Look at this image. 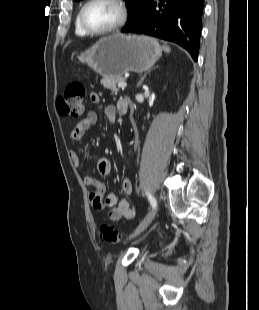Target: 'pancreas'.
Masks as SVG:
<instances>
[{"mask_svg":"<svg viewBox=\"0 0 259 310\" xmlns=\"http://www.w3.org/2000/svg\"><path fill=\"white\" fill-rule=\"evenodd\" d=\"M125 78L124 77H104L101 80V84L107 88L110 89L111 91H113L114 93H118L119 92V88H117V84L119 82H124Z\"/></svg>","mask_w":259,"mask_h":310,"instance_id":"obj_1","label":"pancreas"}]
</instances>
